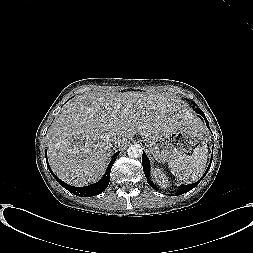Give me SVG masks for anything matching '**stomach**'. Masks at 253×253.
Instances as JSON below:
<instances>
[{
	"label": "stomach",
	"instance_id": "stomach-1",
	"mask_svg": "<svg viewBox=\"0 0 253 253\" xmlns=\"http://www.w3.org/2000/svg\"><path fill=\"white\" fill-rule=\"evenodd\" d=\"M150 153L158 162L184 155L202 139L199 132L179 127L170 132L143 136Z\"/></svg>",
	"mask_w": 253,
	"mask_h": 253
}]
</instances>
